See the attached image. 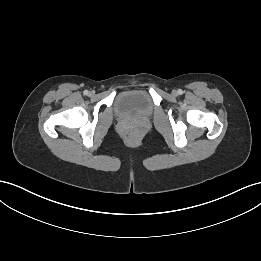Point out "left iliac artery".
Returning a JSON list of instances; mask_svg holds the SVG:
<instances>
[{"label":"left iliac artery","mask_w":261,"mask_h":261,"mask_svg":"<svg viewBox=\"0 0 261 261\" xmlns=\"http://www.w3.org/2000/svg\"><path fill=\"white\" fill-rule=\"evenodd\" d=\"M178 93H179V94H182V90H178Z\"/></svg>","instance_id":"44dca946"}]
</instances>
